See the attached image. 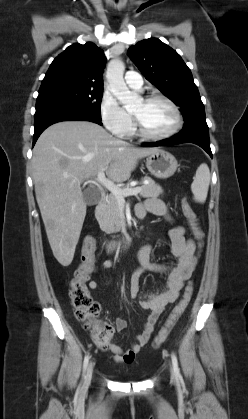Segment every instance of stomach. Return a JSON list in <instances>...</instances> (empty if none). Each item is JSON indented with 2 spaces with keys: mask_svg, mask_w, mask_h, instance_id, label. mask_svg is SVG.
Returning a JSON list of instances; mask_svg holds the SVG:
<instances>
[{
  "mask_svg": "<svg viewBox=\"0 0 248 419\" xmlns=\"http://www.w3.org/2000/svg\"><path fill=\"white\" fill-rule=\"evenodd\" d=\"M146 167L155 177L165 179L175 173L178 163L169 152L158 150L147 157Z\"/></svg>",
  "mask_w": 248,
  "mask_h": 419,
  "instance_id": "stomach-1",
  "label": "stomach"
}]
</instances>
